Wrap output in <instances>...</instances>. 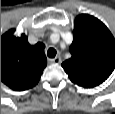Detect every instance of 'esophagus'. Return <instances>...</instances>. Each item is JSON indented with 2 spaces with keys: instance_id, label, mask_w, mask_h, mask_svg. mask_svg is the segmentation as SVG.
Masks as SVG:
<instances>
[{
  "instance_id": "1",
  "label": "esophagus",
  "mask_w": 115,
  "mask_h": 114,
  "mask_svg": "<svg viewBox=\"0 0 115 114\" xmlns=\"http://www.w3.org/2000/svg\"><path fill=\"white\" fill-rule=\"evenodd\" d=\"M50 61L51 63H54V64H60L62 62V59L61 57L57 56L54 59H51Z\"/></svg>"
}]
</instances>
